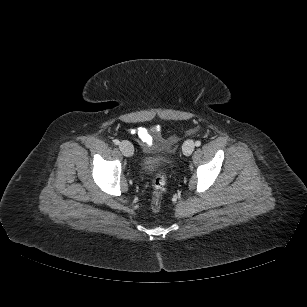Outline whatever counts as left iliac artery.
Segmentation results:
<instances>
[{
    "mask_svg": "<svg viewBox=\"0 0 307 307\" xmlns=\"http://www.w3.org/2000/svg\"><path fill=\"white\" fill-rule=\"evenodd\" d=\"M195 145H196L197 147H199V146L201 145V142H200V141H196V142H195Z\"/></svg>",
    "mask_w": 307,
    "mask_h": 307,
    "instance_id": "44dca946",
    "label": "left iliac artery"
}]
</instances>
